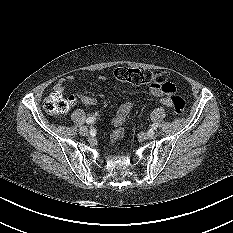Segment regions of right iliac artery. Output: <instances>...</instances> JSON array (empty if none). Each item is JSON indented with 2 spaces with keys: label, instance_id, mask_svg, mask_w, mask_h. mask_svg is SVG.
Segmentation results:
<instances>
[{
  "label": "right iliac artery",
  "instance_id": "82829eb1",
  "mask_svg": "<svg viewBox=\"0 0 233 233\" xmlns=\"http://www.w3.org/2000/svg\"><path fill=\"white\" fill-rule=\"evenodd\" d=\"M94 121H95L94 117H89V118H87L86 123L87 124H92Z\"/></svg>",
  "mask_w": 233,
  "mask_h": 233
}]
</instances>
